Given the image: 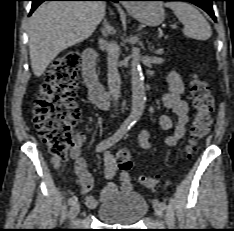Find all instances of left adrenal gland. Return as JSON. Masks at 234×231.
Segmentation results:
<instances>
[{
	"label": "left adrenal gland",
	"mask_w": 234,
	"mask_h": 231,
	"mask_svg": "<svg viewBox=\"0 0 234 231\" xmlns=\"http://www.w3.org/2000/svg\"><path fill=\"white\" fill-rule=\"evenodd\" d=\"M149 49H150L153 53H156V54H158V55L162 54V50H161V49H159V50H157V51H153V47L150 46V43H149Z\"/></svg>",
	"instance_id": "1"
}]
</instances>
